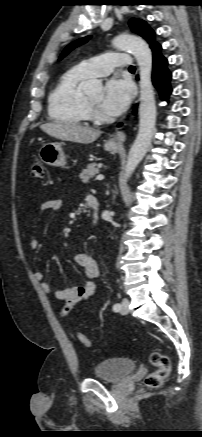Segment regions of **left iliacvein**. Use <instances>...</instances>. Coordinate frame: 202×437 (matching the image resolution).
<instances>
[{"instance_id": "left-iliac-vein-1", "label": "left iliac vein", "mask_w": 202, "mask_h": 437, "mask_svg": "<svg viewBox=\"0 0 202 437\" xmlns=\"http://www.w3.org/2000/svg\"><path fill=\"white\" fill-rule=\"evenodd\" d=\"M129 312V300L127 298H124L121 303V314H127Z\"/></svg>"}]
</instances>
